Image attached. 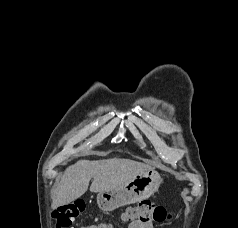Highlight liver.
Returning a JSON list of instances; mask_svg holds the SVG:
<instances>
[{"label": "liver", "instance_id": "6515ba94", "mask_svg": "<svg viewBox=\"0 0 238 228\" xmlns=\"http://www.w3.org/2000/svg\"><path fill=\"white\" fill-rule=\"evenodd\" d=\"M147 164L130 159L80 160L69 166L52 193V208L73 202L88 189L103 192L116 189L139 174L152 170Z\"/></svg>", "mask_w": 238, "mask_h": 228}]
</instances>
